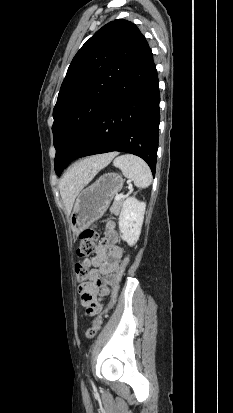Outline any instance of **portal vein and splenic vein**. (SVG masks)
Returning a JSON list of instances; mask_svg holds the SVG:
<instances>
[{
  "instance_id": "obj_1",
  "label": "portal vein and splenic vein",
  "mask_w": 233,
  "mask_h": 413,
  "mask_svg": "<svg viewBox=\"0 0 233 413\" xmlns=\"http://www.w3.org/2000/svg\"><path fill=\"white\" fill-rule=\"evenodd\" d=\"M124 197L123 193H120L118 195L115 196V201H119Z\"/></svg>"
}]
</instances>
